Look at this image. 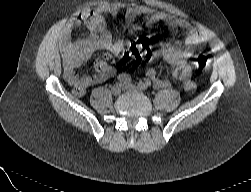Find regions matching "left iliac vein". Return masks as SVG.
<instances>
[{
    "label": "left iliac vein",
    "instance_id": "1",
    "mask_svg": "<svg viewBox=\"0 0 251 192\" xmlns=\"http://www.w3.org/2000/svg\"><path fill=\"white\" fill-rule=\"evenodd\" d=\"M122 88H123L124 91L142 92V90L138 86H136L134 84H131V83L123 84Z\"/></svg>",
    "mask_w": 251,
    "mask_h": 192
}]
</instances>
